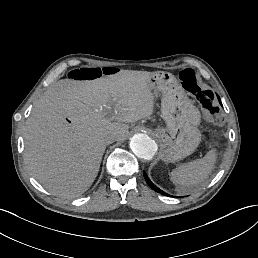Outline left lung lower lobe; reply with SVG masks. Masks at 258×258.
Masks as SVG:
<instances>
[{
	"label": "left lung lower lobe",
	"mask_w": 258,
	"mask_h": 258,
	"mask_svg": "<svg viewBox=\"0 0 258 258\" xmlns=\"http://www.w3.org/2000/svg\"><path fill=\"white\" fill-rule=\"evenodd\" d=\"M218 99H219V102H220V104H221V101H220L219 96H218ZM144 178H145L146 182L148 183V185H149L153 190H155L156 192L161 193V194H163V195L170 196L169 194H166L165 192H163L162 190H160L158 187H156V186L150 181V179L148 178V176L146 175L145 172H144Z\"/></svg>",
	"instance_id": "0a47b994"
}]
</instances>
